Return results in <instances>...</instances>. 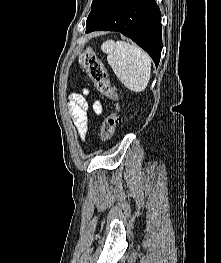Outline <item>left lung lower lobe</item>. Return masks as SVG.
Masks as SVG:
<instances>
[{"mask_svg":"<svg viewBox=\"0 0 221 263\" xmlns=\"http://www.w3.org/2000/svg\"><path fill=\"white\" fill-rule=\"evenodd\" d=\"M118 31L143 48L158 66L161 13L155 0H101L87 18L86 32Z\"/></svg>","mask_w":221,"mask_h":263,"instance_id":"obj_1","label":"left lung lower lobe"}]
</instances>
